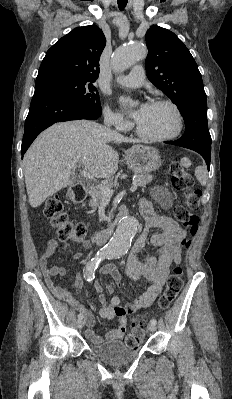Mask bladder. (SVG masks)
<instances>
[{
	"label": "bladder",
	"mask_w": 232,
	"mask_h": 399,
	"mask_svg": "<svg viewBox=\"0 0 232 399\" xmlns=\"http://www.w3.org/2000/svg\"><path fill=\"white\" fill-rule=\"evenodd\" d=\"M89 349L97 358L113 365L128 363L139 353V348H131L120 340L92 344Z\"/></svg>",
	"instance_id": "1"
}]
</instances>
